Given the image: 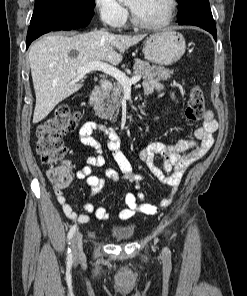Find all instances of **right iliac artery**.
<instances>
[{
  "instance_id": "82829eb1",
  "label": "right iliac artery",
  "mask_w": 247,
  "mask_h": 296,
  "mask_svg": "<svg viewBox=\"0 0 247 296\" xmlns=\"http://www.w3.org/2000/svg\"><path fill=\"white\" fill-rule=\"evenodd\" d=\"M76 228H77V225L75 224V225H73L70 228V230L68 232L67 238H68L69 244H70V240L72 239L73 235L75 234ZM67 258H68V260H72V252H71V249L70 248L68 249V256H67Z\"/></svg>"
}]
</instances>
